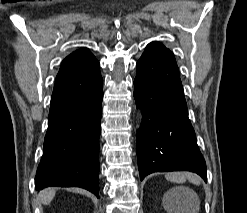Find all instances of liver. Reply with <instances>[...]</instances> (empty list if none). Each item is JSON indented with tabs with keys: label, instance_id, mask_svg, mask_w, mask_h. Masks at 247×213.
Segmentation results:
<instances>
[{
	"label": "liver",
	"instance_id": "liver-1",
	"mask_svg": "<svg viewBox=\"0 0 247 213\" xmlns=\"http://www.w3.org/2000/svg\"><path fill=\"white\" fill-rule=\"evenodd\" d=\"M55 196V190L54 189H45L43 191L40 192V198H41V201L44 205H47L49 204L52 199L54 198Z\"/></svg>",
	"mask_w": 247,
	"mask_h": 213
}]
</instances>
